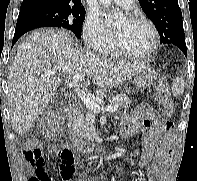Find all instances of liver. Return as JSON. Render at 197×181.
<instances>
[{
  "label": "liver",
  "instance_id": "obj_1",
  "mask_svg": "<svg viewBox=\"0 0 197 181\" xmlns=\"http://www.w3.org/2000/svg\"><path fill=\"white\" fill-rule=\"evenodd\" d=\"M144 63L114 61L73 45L69 33L44 29L23 41L10 68L8 101L12 128L19 135L30 130L51 101L60 74H86L99 88L116 87L135 76Z\"/></svg>",
  "mask_w": 197,
  "mask_h": 181
}]
</instances>
